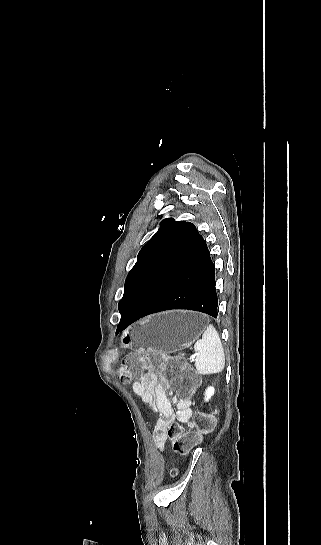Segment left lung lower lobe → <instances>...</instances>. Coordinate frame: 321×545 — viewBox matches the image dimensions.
Returning a JSON list of instances; mask_svg holds the SVG:
<instances>
[{
  "label": "left lung lower lobe",
  "instance_id": "0a47b994",
  "mask_svg": "<svg viewBox=\"0 0 321 545\" xmlns=\"http://www.w3.org/2000/svg\"><path fill=\"white\" fill-rule=\"evenodd\" d=\"M215 285V267L206 242L188 222L161 268L128 314L121 316L118 330L141 317L170 309L195 310L217 318Z\"/></svg>",
  "mask_w": 321,
  "mask_h": 545
}]
</instances>
